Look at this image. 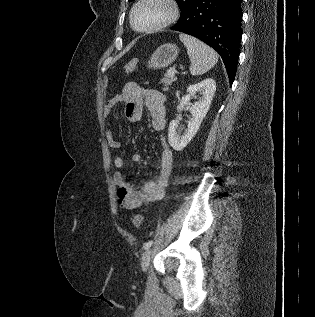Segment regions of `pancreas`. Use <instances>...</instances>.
Segmentation results:
<instances>
[{
	"label": "pancreas",
	"mask_w": 315,
	"mask_h": 317,
	"mask_svg": "<svg viewBox=\"0 0 315 317\" xmlns=\"http://www.w3.org/2000/svg\"><path fill=\"white\" fill-rule=\"evenodd\" d=\"M176 80L175 77L170 76L169 72L165 73L164 77L161 79V83L164 84V91H167L169 89V85L172 84Z\"/></svg>",
	"instance_id": "obj_1"
}]
</instances>
